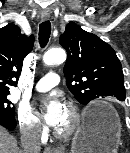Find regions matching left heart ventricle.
<instances>
[{
    "mask_svg": "<svg viewBox=\"0 0 130 153\" xmlns=\"http://www.w3.org/2000/svg\"><path fill=\"white\" fill-rule=\"evenodd\" d=\"M69 120H70L69 113H68L67 109L64 108L61 119L55 127L59 128V129L65 128L68 125Z\"/></svg>",
    "mask_w": 130,
    "mask_h": 153,
    "instance_id": "left-heart-ventricle-1",
    "label": "left heart ventricle"
}]
</instances>
